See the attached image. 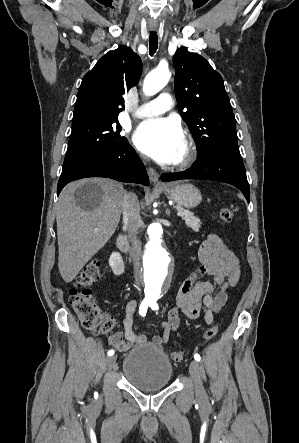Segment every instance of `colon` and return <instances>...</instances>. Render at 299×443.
I'll return each mask as SVG.
<instances>
[{"mask_svg":"<svg viewBox=\"0 0 299 443\" xmlns=\"http://www.w3.org/2000/svg\"><path fill=\"white\" fill-rule=\"evenodd\" d=\"M220 218L224 223H231L234 217L231 208L225 207L220 210ZM102 277L101 263L96 259L88 261L76 279L74 287L70 290L69 303L82 326L97 335L109 333L114 320L99 310L93 297L91 286ZM218 332V325H212L204 332V338L212 339ZM185 350L180 349L171 353V358L180 362L184 360Z\"/></svg>","mask_w":299,"mask_h":443,"instance_id":"1","label":"colon"}]
</instances>
